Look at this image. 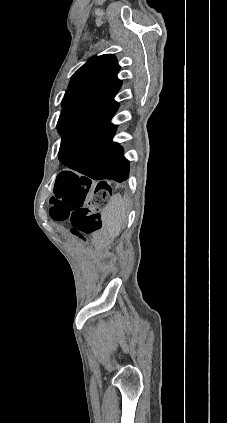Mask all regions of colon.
I'll list each match as a JSON object with an SVG mask.
<instances>
[{"instance_id":"1","label":"colon","mask_w":227,"mask_h":423,"mask_svg":"<svg viewBox=\"0 0 227 423\" xmlns=\"http://www.w3.org/2000/svg\"><path fill=\"white\" fill-rule=\"evenodd\" d=\"M91 184L72 175H59L54 186L53 207L50 211L53 219H70L74 232L90 235L101 228L100 211L111 194L110 186L98 183L85 205Z\"/></svg>"}]
</instances>
